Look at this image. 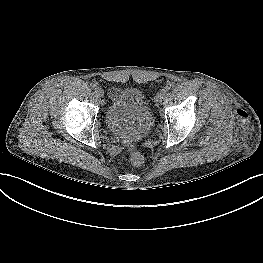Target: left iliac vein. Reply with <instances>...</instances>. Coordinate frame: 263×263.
<instances>
[{
    "label": "left iliac vein",
    "instance_id": "1",
    "mask_svg": "<svg viewBox=\"0 0 263 263\" xmlns=\"http://www.w3.org/2000/svg\"><path fill=\"white\" fill-rule=\"evenodd\" d=\"M156 103H161L162 97L160 95H157L155 97Z\"/></svg>",
    "mask_w": 263,
    "mask_h": 263
}]
</instances>
